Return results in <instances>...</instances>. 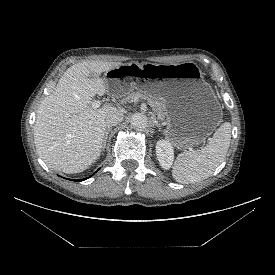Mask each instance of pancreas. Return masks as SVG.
Returning <instances> with one entry per match:
<instances>
[{"label":"pancreas","mask_w":275,"mask_h":275,"mask_svg":"<svg viewBox=\"0 0 275 275\" xmlns=\"http://www.w3.org/2000/svg\"><path fill=\"white\" fill-rule=\"evenodd\" d=\"M138 99L147 100L149 105L152 107L153 111L157 115L158 119L161 121L165 120V101L163 99H155L151 97L149 98L145 94H142L140 92H132L124 100L127 102H133L137 101Z\"/></svg>","instance_id":"pancreas-1"}]
</instances>
